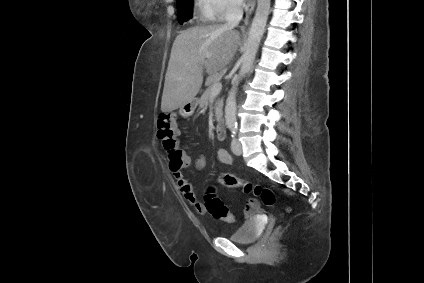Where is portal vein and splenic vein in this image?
<instances>
[{
    "mask_svg": "<svg viewBox=\"0 0 424 283\" xmlns=\"http://www.w3.org/2000/svg\"><path fill=\"white\" fill-rule=\"evenodd\" d=\"M222 89V83L218 80L211 85V95L215 96L220 93Z\"/></svg>",
    "mask_w": 424,
    "mask_h": 283,
    "instance_id": "portal-vein-and-splenic-vein-1",
    "label": "portal vein and splenic vein"
}]
</instances>
